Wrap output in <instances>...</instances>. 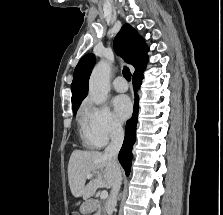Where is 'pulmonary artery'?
I'll list each match as a JSON object with an SVG mask.
<instances>
[{
	"instance_id": "1",
	"label": "pulmonary artery",
	"mask_w": 223,
	"mask_h": 215,
	"mask_svg": "<svg viewBox=\"0 0 223 215\" xmlns=\"http://www.w3.org/2000/svg\"><path fill=\"white\" fill-rule=\"evenodd\" d=\"M113 87L116 91L124 92L128 89V83L123 77H117L113 81Z\"/></svg>"
}]
</instances>
